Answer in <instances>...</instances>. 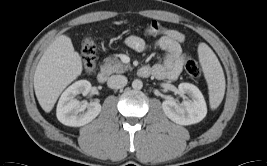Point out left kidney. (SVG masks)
Instances as JSON below:
<instances>
[{
    "instance_id": "left-kidney-1",
    "label": "left kidney",
    "mask_w": 267,
    "mask_h": 166,
    "mask_svg": "<svg viewBox=\"0 0 267 166\" xmlns=\"http://www.w3.org/2000/svg\"><path fill=\"white\" fill-rule=\"evenodd\" d=\"M178 90L191 99L184 100L181 104L173 98L166 99L162 103L165 115L180 125H191L203 120L207 114V106L201 91L190 83H180Z\"/></svg>"
}]
</instances>
